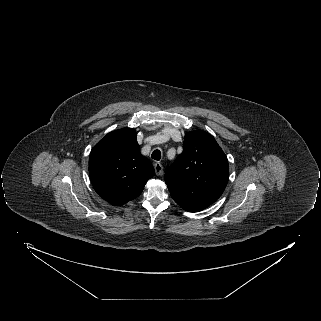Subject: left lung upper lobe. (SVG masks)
<instances>
[{
	"label": "left lung upper lobe",
	"mask_w": 321,
	"mask_h": 321,
	"mask_svg": "<svg viewBox=\"0 0 321 321\" xmlns=\"http://www.w3.org/2000/svg\"><path fill=\"white\" fill-rule=\"evenodd\" d=\"M228 177L227 157L214 137L195 130L185 134L183 152L167 169L164 179L179 206L202 210L221 196Z\"/></svg>",
	"instance_id": "5c2ea615"
}]
</instances>
